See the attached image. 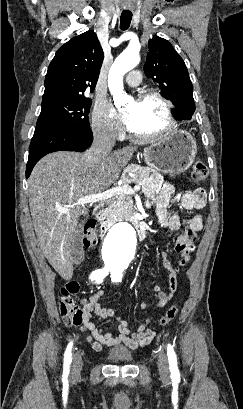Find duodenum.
Returning a JSON list of instances; mask_svg holds the SVG:
<instances>
[{
	"label": "duodenum",
	"mask_w": 243,
	"mask_h": 409,
	"mask_svg": "<svg viewBox=\"0 0 243 409\" xmlns=\"http://www.w3.org/2000/svg\"><path fill=\"white\" fill-rule=\"evenodd\" d=\"M109 202L98 203L94 208V217L100 222V236H104L110 227L114 224V220L107 216L106 212L109 208ZM134 226L140 240L146 237V227L142 222L135 221Z\"/></svg>",
	"instance_id": "obj_1"
}]
</instances>
